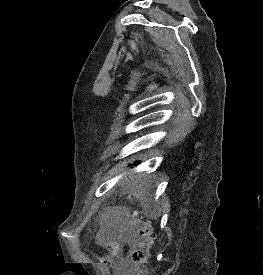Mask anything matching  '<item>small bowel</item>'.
Wrapping results in <instances>:
<instances>
[{
	"instance_id": "c3829d8e",
	"label": "small bowel",
	"mask_w": 263,
	"mask_h": 275,
	"mask_svg": "<svg viewBox=\"0 0 263 275\" xmlns=\"http://www.w3.org/2000/svg\"><path fill=\"white\" fill-rule=\"evenodd\" d=\"M124 268H125V265L121 264V266L118 268V275H122Z\"/></svg>"
}]
</instances>
